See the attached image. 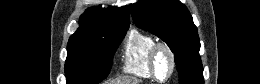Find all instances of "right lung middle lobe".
Instances as JSON below:
<instances>
[{
  "instance_id": "obj_1",
  "label": "right lung middle lobe",
  "mask_w": 260,
  "mask_h": 84,
  "mask_svg": "<svg viewBox=\"0 0 260 84\" xmlns=\"http://www.w3.org/2000/svg\"><path fill=\"white\" fill-rule=\"evenodd\" d=\"M127 29L107 30L89 41L68 43L67 84H97L111 69L113 54Z\"/></svg>"
}]
</instances>
